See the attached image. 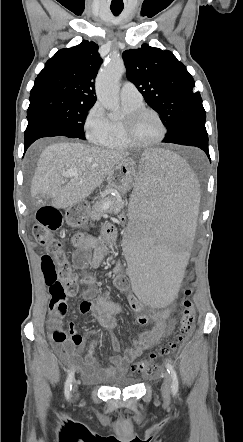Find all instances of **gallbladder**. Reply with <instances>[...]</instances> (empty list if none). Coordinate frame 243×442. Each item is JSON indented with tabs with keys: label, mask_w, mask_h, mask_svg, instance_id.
I'll return each mask as SVG.
<instances>
[{
	"label": "gallbladder",
	"mask_w": 243,
	"mask_h": 442,
	"mask_svg": "<svg viewBox=\"0 0 243 442\" xmlns=\"http://www.w3.org/2000/svg\"><path fill=\"white\" fill-rule=\"evenodd\" d=\"M52 198L49 195H44V194H39L35 199H34V204L36 207H40L42 205L49 204L51 203Z\"/></svg>",
	"instance_id": "1"
}]
</instances>
